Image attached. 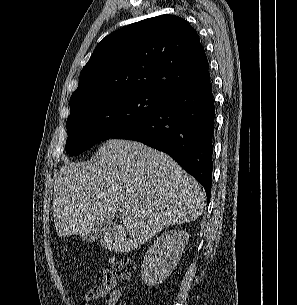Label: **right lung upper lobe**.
<instances>
[{
  "label": "right lung upper lobe",
  "instance_id": "right-lung-upper-lobe-1",
  "mask_svg": "<svg viewBox=\"0 0 297 305\" xmlns=\"http://www.w3.org/2000/svg\"><path fill=\"white\" fill-rule=\"evenodd\" d=\"M197 32L183 18L160 15L105 37L82 69L70 112L93 101L130 92L167 97L210 80Z\"/></svg>",
  "mask_w": 297,
  "mask_h": 305
}]
</instances>
